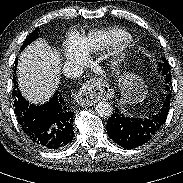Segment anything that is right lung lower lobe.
Instances as JSON below:
<instances>
[{
	"instance_id": "right-lung-lower-lobe-1",
	"label": "right lung lower lobe",
	"mask_w": 183,
	"mask_h": 183,
	"mask_svg": "<svg viewBox=\"0 0 183 183\" xmlns=\"http://www.w3.org/2000/svg\"><path fill=\"white\" fill-rule=\"evenodd\" d=\"M13 83L14 111L27 138L47 150L68 146L74 137V112L60 92H56L46 104L35 106L22 97L15 78Z\"/></svg>"
}]
</instances>
